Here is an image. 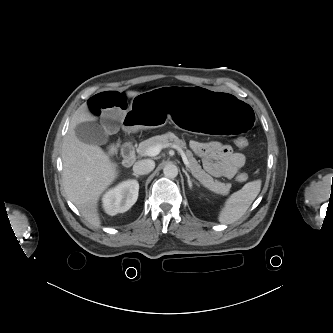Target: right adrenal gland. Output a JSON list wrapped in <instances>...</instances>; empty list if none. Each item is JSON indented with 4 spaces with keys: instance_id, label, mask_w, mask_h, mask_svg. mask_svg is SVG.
<instances>
[{
    "instance_id": "right-adrenal-gland-1",
    "label": "right adrenal gland",
    "mask_w": 333,
    "mask_h": 333,
    "mask_svg": "<svg viewBox=\"0 0 333 333\" xmlns=\"http://www.w3.org/2000/svg\"><path fill=\"white\" fill-rule=\"evenodd\" d=\"M132 175H134L136 178H139V175L136 173H133Z\"/></svg>"
}]
</instances>
